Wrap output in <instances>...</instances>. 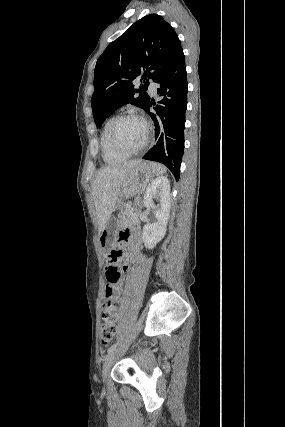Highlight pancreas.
Here are the masks:
<instances>
[{
	"mask_svg": "<svg viewBox=\"0 0 285 427\" xmlns=\"http://www.w3.org/2000/svg\"><path fill=\"white\" fill-rule=\"evenodd\" d=\"M135 211H136V208H132L131 206L126 205L123 211V215L119 220V224L123 226L137 220V216L134 215Z\"/></svg>",
	"mask_w": 285,
	"mask_h": 427,
	"instance_id": "obj_1",
	"label": "pancreas"
}]
</instances>
